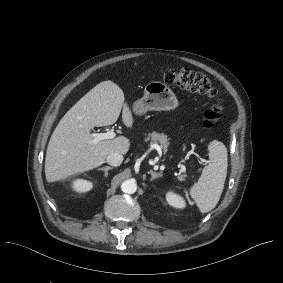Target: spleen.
Here are the masks:
<instances>
[{
	"label": "spleen",
	"instance_id": "1",
	"mask_svg": "<svg viewBox=\"0 0 283 283\" xmlns=\"http://www.w3.org/2000/svg\"><path fill=\"white\" fill-rule=\"evenodd\" d=\"M210 163L192 188V196L201 212L211 211L218 203L227 177L228 151L223 142L212 141L209 144Z\"/></svg>",
	"mask_w": 283,
	"mask_h": 283
}]
</instances>
